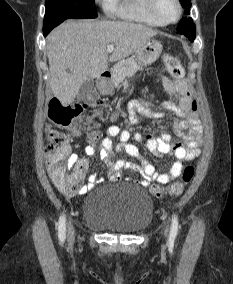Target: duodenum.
Instances as JSON below:
<instances>
[{"label":"duodenum","instance_id":"410a0bca","mask_svg":"<svg viewBox=\"0 0 233 284\" xmlns=\"http://www.w3.org/2000/svg\"><path fill=\"white\" fill-rule=\"evenodd\" d=\"M111 79V72L109 70H106L104 71L102 74H101V77H100V84L101 86H106L107 83L110 81Z\"/></svg>","mask_w":233,"mask_h":284}]
</instances>
